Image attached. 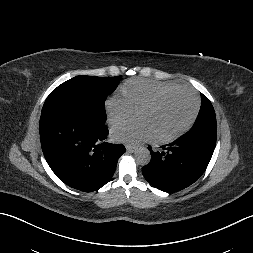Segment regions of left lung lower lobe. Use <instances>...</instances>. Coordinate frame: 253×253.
Wrapping results in <instances>:
<instances>
[{
	"label": "left lung lower lobe",
	"instance_id": "0a47b994",
	"mask_svg": "<svg viewBox=\"0 0 253 253\" xmlns=\"http://www.w3.org/2000/svg\"><path fill=\"white\" fill-rule=\"evenodd\" d=\"M216 143L200 136H181L160 152L152 151L142 168L145 179L155 188L172 193L193 184L206 170Z\"/></svg>",
	"mask_w": 253,
	"mask_h": 253
}]
</instances>
